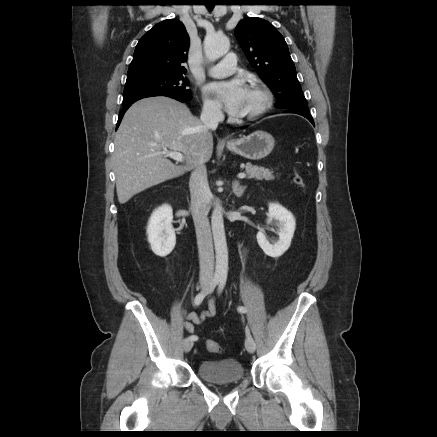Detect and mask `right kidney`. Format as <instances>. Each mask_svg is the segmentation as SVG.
I'll return each mask as SVG.
<instances>
[{
	"mask_svg": "<svg viewBox=\"0 0 437 437\" xmlns=\"http://www.w3.org/2000/svg\"><path fill=\"white\" fill-rule=\"evenodd\" d=\"M172 220V208L166 204L157 208L149 219L147 226L148 242L153 253L159 257L169 255L175 247L176 235Z\"/></svg>",
	"mask_w": 437,
	"mask_h": 437,
	"instance_id": "right-kidney-1",
	"label": "right kidney"
}]
</instances>
